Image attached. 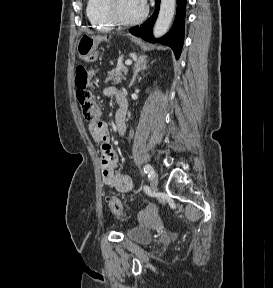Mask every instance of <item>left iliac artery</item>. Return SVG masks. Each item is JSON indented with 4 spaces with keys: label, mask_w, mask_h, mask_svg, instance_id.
<instances>
[{
    "label": "left iliac artery",
    "mask_w": 273,
    "mask_h": 288,
    "mask_svg": "<svg viewBox=\"0 0 273 288\" xmlns=\"http://www.w3.org/2000/svg\"><path fill=\"white\" fill-rule=\"evenodd\" d=\"M143 169H144V172L148 175L149 178L153 177L154 170H153V168H152V166L150 164H146Z\"/></svg>",
    "instance_id": "1"
}]
</instances>
